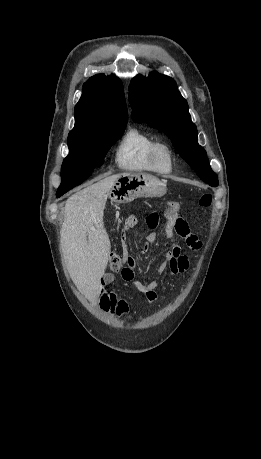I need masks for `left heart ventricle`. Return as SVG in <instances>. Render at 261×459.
<instances>
[{
	"label": "left heart ventricle",
	"instance_id": "b2bd125f",
	"mask_svg": "<svg viewBox=\"0 0 261 459\" xmlns=\"http://www.w3.org/2000/svg\"><path fill=\"white\" fill-rule=\"evenodd\" d=\"M159 166L163 170H168L170 167V160L166 153H161L159 156Z\"/></svg>",
	"mask_w": 261,
	"mask_h": 459
}]
</instances>
